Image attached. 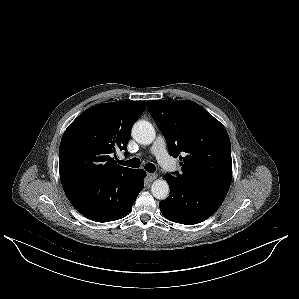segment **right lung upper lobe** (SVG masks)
<instances>
[{
    "mask_svg": "<svg viewBox=\"0 0 299 299\" xmlns=\"http://www.w3.org/2000/svg\"><path fill=\"white\" fill-rule=\"evenodd\" d=\"M144 110V101H118L98 104L82 112L61 139V182L132 175L136 169L119 166L111 155L126 150L131 128Z\"/></svg>",
    "mask_w": 299,
    "mask_h": 299,
    "instance_id": "right-lung-upper-lobe-1",
    "label": "right lung upper lobe"
}]
</instances>
